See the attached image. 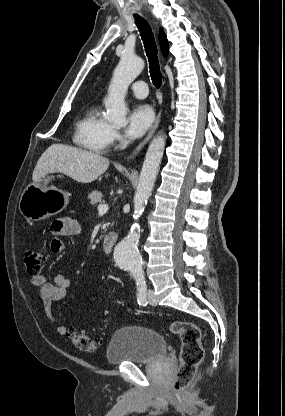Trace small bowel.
<instances>
[{"label":"small bowel","mask_w":285,"mask_h":416,"mask_svg":"<svg viewBox=\"0 0 285 416\" xmlns=\"http://www.w3.org/2000/svg\"><path fill=\"white\" fill-rule=\"evenodd\" d=\"M81 226L75 219L65 217L55 220L51 225L53 238L50 242V251L53 254H60L64 251L65 245L62 237H70L80 233ZM32 284L38 289V295L42 301L46 315L55 330L60 335H67L69 330L58 323L52 314V303L63 299L71 281L68 276L57 273L53 276L52 281H48L44 275L32 277Z\"/></svg>","instance_id":"1"}]
</instances>
